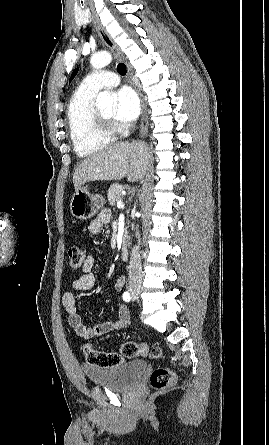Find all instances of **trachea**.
I'll list each match as a JSON object with an SVG mask.
<instances>
[{"mask_svg":"<svg viewBox=\"0 0 269 445\" xmlns=\"http://www.w3.org/2000/svg\"><path fill=\"white\" fill-rule=\"evenodd\" d=\"M117 71L120 75H125L127 70H126V66L124 63H118L117 65Z\"/></svg>","mask_w":269,"mask_h":445,"instance_id":"trachea-1","label":"trachea"}]
</instances>
